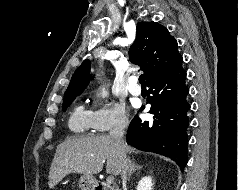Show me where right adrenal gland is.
<instances>
[{
	"mask_svg": "<svg viewBox=\"0 0 238 190\" xmlns=\"http://www.w3.org/2000/svg\"><path fill=\"white\" fill-rule=\"evenodd\" d=\"M142 166L136 165L135 162L131 159H128V181H130V177L132 173H134L136 170L141 169Z\"/></svg>",
	"mask_w": 238,
	"mask_h": 190,
	"instance_id": "obj_1",
	"label": "right adrenal gland"
}]
</instances>
